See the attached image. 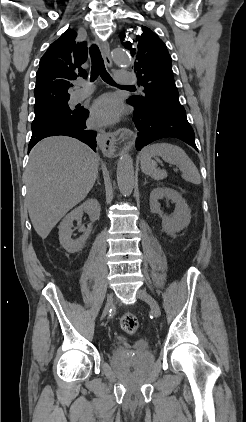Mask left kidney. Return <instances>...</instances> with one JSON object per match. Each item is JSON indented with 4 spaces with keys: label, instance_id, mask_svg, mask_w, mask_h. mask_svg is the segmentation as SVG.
Returning a JSON list of instances; mask_svg holds the SVG:
<instances>
[{
    "label": "left kidney",
    "instance_id": "obj_1",
    "mask_svg": "<svg viewBox=\"0 0 246 422\" xmlns=\"http://www.w3.org/2000/svg\"><path fill=\"white\" fill-rule=\"evenodd\" d=\"M167 198L175 203V211L167 216L161 211L159 200ZM150 210L161 215L162 229L169 235H174L186 228L191 221V210L182 196L172 188L157 187L150 193Z\"/></svg>",
    "mask_w": 246,
    "mask_h": 422
}]
</instances>
